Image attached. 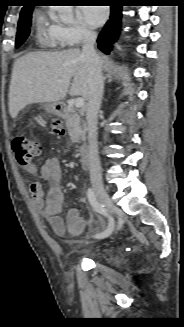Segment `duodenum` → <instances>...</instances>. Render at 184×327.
Returning <instances> with one entry per match:
<instances>
[{
  "instance_id": "obj_1",
  "label": "duodenum",
  "mask_w": 184,
  "mask_h": 327,
  "mask_svg": "<svg viewBox=\"0 0 184 327\" xmlns=\"http://www.w3.org/2000/svg\"><path fill=\"white\" fill-rule=\"evenodd\" d=\"M56 113L61 117H67L70 114V111L65 104H57ZM79 153L81 155L83 164L87 166L89 164V151L86 142H82L79 146Z\"/></svg>"
}]
</instances>
